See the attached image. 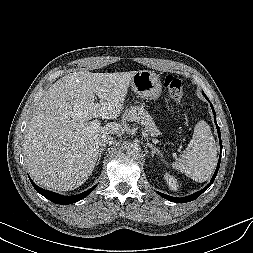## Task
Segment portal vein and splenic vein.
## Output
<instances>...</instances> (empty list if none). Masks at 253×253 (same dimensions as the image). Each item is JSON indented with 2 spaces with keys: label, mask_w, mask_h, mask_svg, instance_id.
Segmentation results:
<instances>
[{
  "label": "portal vein and splenic vein",
  "mask_w": 253,
  "mask_h": 253,
  "mask_svg": "<svg viewBox=\"0 0 253 253\" xmlns=\"http://www.w3.org/2000/svg\"><path fill=\"white\" fill-rule=\"evenodd\" d=\"M101 122L99 120H93L91 123H90V127L94 130H99L101 128Z\"/></svg>",
  "instance_id": "obj_1"
}]
</instances>
